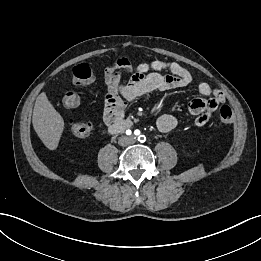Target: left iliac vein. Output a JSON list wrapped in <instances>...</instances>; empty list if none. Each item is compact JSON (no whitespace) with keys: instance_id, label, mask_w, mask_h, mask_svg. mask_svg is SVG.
Here are the masks:
<instances>
[{"instance_id":"1","label":"left iliac vein","mask_w":261,"mask_h":261,"mask_svg":"<svg viewBox=\"0 0 261 261\" xmlns=\"http://www.w3.org/2000/svg\"><path fill=\"white\" fill-rule=\"evenodd\" d=\"M132 140H135V137H131Z\"/></svg>"}]
</instances>
